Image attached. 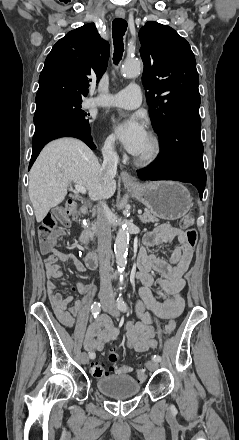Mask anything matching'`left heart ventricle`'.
<instances>
[{
	"label": "left heart ventricle",
	"mask_w": 239,
	"mask_h": 440,
	"mask_svg": "<svg viewBox=\"0 0 239 440\" xmlns=\"http://www.w3.org/2000/svg\"><path fill=\"white\" fill-rule=\"evenodd\" d=\"M151 149V143H150V139L149 137L147 138L144 146L142 147L141 151L139 152L138 155H143V154H147Z\"/></svg>",
	"instance_id": "left-heart-ventricle-1"
}]
</instances>
